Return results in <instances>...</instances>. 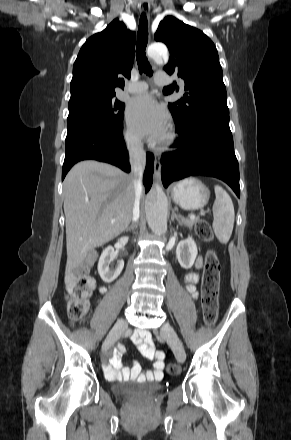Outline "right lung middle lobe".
I'll list each match as a JSON object with an SVG mask.
<instances>
[{"label": "right lung middle lobe", "instance_id": "obj_1", "mask_svg": "<svg viewBox=\"0 0 291 440\" xmlns=\"http://www.w3.org/2000/svg\"><path fill=\"white\" fill-rule=\"evenodd\" d=\"M112 96H87L69 101L67 122L116 126L123 121L125 104Z\"/></svg>", "mask_w": 291, "mask_h": 440}]
</instances>
